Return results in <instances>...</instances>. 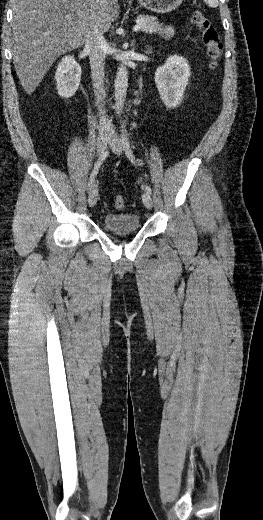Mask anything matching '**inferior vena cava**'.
Returning a JSON list of instances; mask_svg holds the SVG:
<instances>
[{"instance_id": "obj_1", "label": "inferior vena cava", "mask_w": 263, "mask_h": 520, "mask_svg": "<svg viewBox=\"0 0 263 520\" xmlns=\"http://www.w3.org/2000/svg\"><path fill=\"white\" fill-rule=\"evenodd\" d=\"M85 49L89 53L92 82L100 115L99 133H103L111 130V123L106 119L105 110L102 105L105 97L104 65L107 42L103 36V31L98 24H94L91 27L85 42Z\"/></svg>"}]
</instances>
